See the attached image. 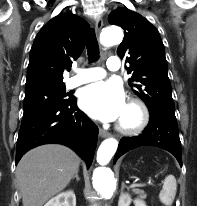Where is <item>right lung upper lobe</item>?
Masks as SVG:
<instances>
[{
  "instance_id": "right-lung-upper-lobe-1",
  "label": "right lung upper lobe",
  "mask_w": 197,
  "mask_h": 206,
  "mask_svg": "<svg viewBox=\"0 0 197 206\" xmlns=\"http://www.w3.org/2000/svg\"><path fill=\"white\" fill-rule=\"evenodd\" d=\"M88 30L84 19L69 13L45 24L30 51L25 88L65 85L63 71L81 55Z\"/></svg>"
}]
</instances>
